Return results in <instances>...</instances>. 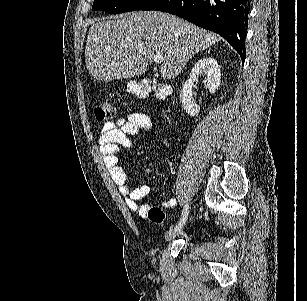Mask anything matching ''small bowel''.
<instances>
[{
    "label": "small bowel",
    "mask_w": 307,
    "mask_h": 301,
    "mask_svg": "<svg viewBox=\"0 0 307 301\" xmlns=\"http://www.w3.org/2000/svg\"><path fill=\"white\" fill-rule=\"evenodd\" d=\"M150 117L142 112H132L128 116L119 117L107 122L98 137V146L110 175L125 199L127 206L145 218L150 208L139 201L149 195L151 189L148 185L132 188L127 181V173L118 160L120 148H130L133 145L132 137L149 130ZM177 200L173 197L163 201L164 207H174Z\"/></svg>",
    "instance_id": "1"
}]
</instances>
